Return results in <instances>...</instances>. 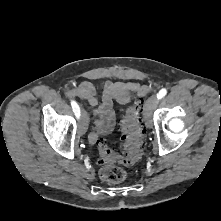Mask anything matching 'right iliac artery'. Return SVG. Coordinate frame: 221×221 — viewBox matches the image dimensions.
<instances>
[{
  "mask_svg": "<svg viewBox=\"0 0 221 221\" xmlns=\"http://www.w3.org/2000/svg\"><path fill=\"white\" fill-rule=\"evenodd\" d=\"M71 106H72L73 112L75 113L76 117L79 118V116H80L79 105L77 104L76 101L72 100L71 101Z\"/></svg>",
  "mask_w": 221,
  "mask_h": 221,
  "instance_id": "right-iliac-artery-1",
  "label": "right iliac artery"
}]
</instances>
